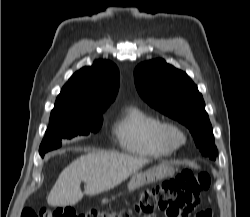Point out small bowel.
Returning a JSON list of instances; mask_svg holds the SVG:
<instances>
[{
    "mask_svg": "<svg viewBox=\"0 0 250 217\" xmlns=\"http://www.w3.org/2000/svg\"><path fill=\"white\" fill-rule=\"evenodd\" d=\"M195 209L196 208H193V209L189 210L188 212L184 213V215H187V214L193 212ZM152 217H154V216H152ZM201 217H205V215H201Z\"/></svg>",
    "mask_w": 250,
    "mask_h": 217,
    "instance_id": "small-bowel-1",
    "label": "small bowel"
}]
</instances>
